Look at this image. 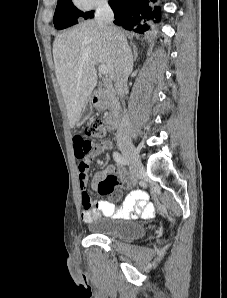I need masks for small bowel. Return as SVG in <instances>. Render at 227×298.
Instances as JSON below:
<instances>
[{
	"label": "small bowel",
	"instance_id": "obj_1",
	"mask_svg": "<svg viewBox=\"0 0 227 298\" xmlns=\"http://www.w3.org/2000/svg\"><path fill=\"white\" fill-rule=\"evenodd\" d=\"M86 138L85 134H74V139H71V147H74V158L80 159L78 166L79 184L83 192V209L81 218L85 223L91 222L101 216L109 218H150L154 214V205L148 201V196L143 191H133L124 200L120 208H117L114 203L108 200H100L92 204L90 195L85 191L88 186V167L89 164L97 157L101 156L107 150L111 149L110 141H103L97 145L93 142H83ZM117 172L122 177L125 176L123 169L116 166H108L105 171L95 175V181L98 182L107 173ZM119 196V193L116 194Z\"/></svg>",
	"mask_w": 227,
	"mask_h": 298
}]
</instances>
